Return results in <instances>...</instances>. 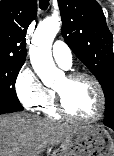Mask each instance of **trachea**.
Masks as SVG:
<instances>
[{
	"label": "trachea",
	"mask_w": 114,
	"mask_h": 156,
	"mask_svg": "<svg viewBox=\"0 0 114 156\" xmlns=\"http://www.w3.org/2000/svg\"><path fill=\"white\" fill-rule=\"evenodd\" d=\"M39 5L42 10H46L49 6V0H39Z\"/></svg>",
	"instance_id": "3493384b"
}]
</instances>
